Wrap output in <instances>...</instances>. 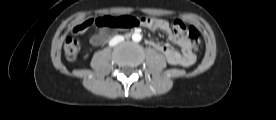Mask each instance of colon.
I'll list each match as a JSON object with an SVG mask.
<instances>
[{"instance_id": "5ec220e1", "label": "colon", "mask_w": 276, "mask_h": 120, "mask_svg": "<svg viewBox=\"0 0 276 120\" xmlns=\"http://www.w3.org/2000/svg\"><path fill=\"white\" fill-rule=\"evenodd\" d=\"M153 18H141L142 23H150ZM139 20L132 16H119V17H100L96 20L88 19L75 27L77 33L84 32L92 24H96L101 28H116L127 29L136 26ZM173 31L176 37L180 39H188L192 45V50L198 52L201 46L198 31L191 26L186 25L180 20L173 22ZM80 52V45L76 38L68 37L64 44V54L68 60H75Z\"/></svg>"}]
</instances>
